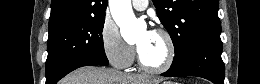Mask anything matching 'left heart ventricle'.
I'll return each instance as SVG.
<instances>
[{"label": "left heart ventricle", "mask_w": 260, "mask_h": 84, "mask_svg": "<svg viewBox=\"0 0 260 84\" xmlns=\"http://www.w3.org/2000/svg\"><path fill=\"white\" fill-rule=\"evenodd\" d=\"M144 62L149 66L162 65L167 57V45L161 35L143 31L136 41Z\"/></svg>", "instance_id": "obj_1"}]
</instances>
